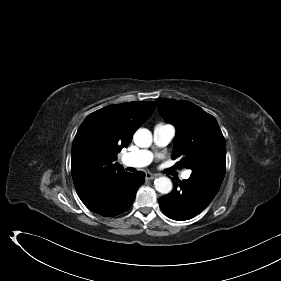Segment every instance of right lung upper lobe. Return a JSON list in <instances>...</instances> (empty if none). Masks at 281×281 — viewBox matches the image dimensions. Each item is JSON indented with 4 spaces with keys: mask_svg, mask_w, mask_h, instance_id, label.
Returning <instances> with one entry per match:
<instances>
[{
    "mask_svg": "<svg viewBox=\"0 0 281 281\" xmlns=\"http://www.w3.org/2000/svg\"><path fill=\"white\" fill-rule=\"evenodd\" d=\"M155 102L106 106L86 117L72 144L71 173L80 199L114 176L125 172L114 163L135 131L151 116Z\"/></svg>",
    "mask_w": 281,
    "mask_h": 281,
    "instance_id": "right-lung-upper-lobe-1",
    "label": "right lung upper lobe"
}]
</instances>
